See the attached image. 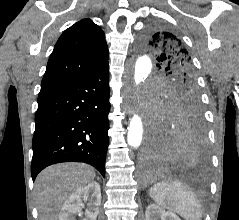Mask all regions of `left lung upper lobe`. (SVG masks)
<instances>
[{
	"instance_id": "1",
	"label": "left lung upper lobe",
	"mask_w": 239,
	"mask_h": 220,
	"mask_svg": "<svg viewBox=\"0 0 239 220\" xmlns=\"http://www.w3.org/2000/svg\"><path fill=\"white\" fill-rule=\"evenodd\" d=\"M141 45L156 57L157 67L163 68L170 76L159 95V109L202 112L193 62L180 37L168 28L152 24L143 33Z\"/></svg>"
}]
</instances>
